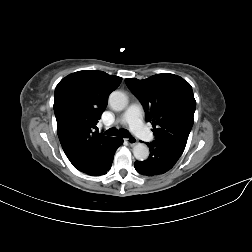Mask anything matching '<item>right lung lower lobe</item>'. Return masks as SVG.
<instances>
[{
	"label": "right lung lower lobe",
	"instance_id": "right-lung-lower-lobe-1",
	"mask_svg": "<svg viewBox=\"0 0 252 252\" xmlns=\"http://www.w3.org/2000/svg\"><path fill=\"white\" fill-rule=\"evenodd\" d=\"M123 139L119 137L111 138L106 143L101 155L94 162L78 170L88 175L101 176L107 173L111 168L116 149L122 144Z\"/></svg>",
	"mask_w": 252,
	"mask_h": 252
}]
</instances>
